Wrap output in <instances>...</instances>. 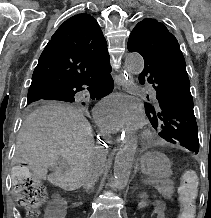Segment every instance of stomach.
<instances>
[{
    "instance_id": "stomach-1",
    "label": "stomach",
    "mask_w": 211,
    "mask_h": 218,
    "mask_svg": "<svg viewBox=\"0 0 211 218\" xmlns=\"http://www.w3.org/2000/svg\"><path fill=\"white\" fill-rule=\"evenodd\" d=\"M171 167L168 157L159 152H148L140 160V170L155 179L164 177Z\"/></svg>"
}]
</instances>
